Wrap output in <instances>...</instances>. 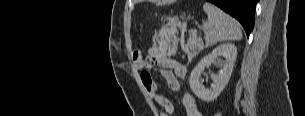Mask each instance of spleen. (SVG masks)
Segmentation results:
<instances>
[{
	"label": "spleen",
	"instance_id": "1",
	"mask_svg": "<svg viewBox=\"0 0 305 116\" xmlns=\"http://www.w3.org/2000/svg\"><path fill=\"white\" fill-rule=\"evenodd\" d=\"M203 10L208 16L207 23L203 25L207 45L242 38L241 26L236 19L208 2L203 5Z\"/></svg>",
	"mask_w": 305,
	"mask_h": 116
}]
</instances>
